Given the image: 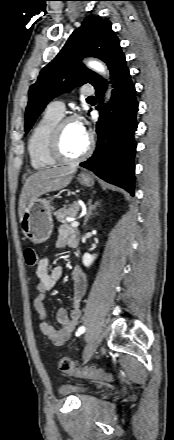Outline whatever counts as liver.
I'll return each mask as SVG.
<instances>
[{
	"mask_svg": "<svg viewBox=\"0 0 174 440\" xmlns=\"http://www.w3.org/2000/svg\"><path fill=\"white\" fill-rule=\"evenodd\" d=\"M76 169H44L29 176L19 198L18 214L20 222L23 213L41 195L65 188L70 184Z\"/></svg>",
	"mask_w": 174,
	"mask_h": 440,
	"instance_id": "obj_1",
	"label": "liver"
}]
</instances>
